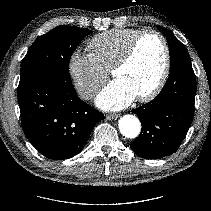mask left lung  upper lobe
I'll list each match as a JSON object with an SVG mask.
<instances>
[{"label": "left lung upper lobe", "instance_id": "5c2ea615", "mask_svg": "<svg viewBox=\"0 0 211 211\" xmlns=\"http://www.w3.org/2000/svg\"><path fill=\"white\" fill-rule=\"evenodd\" d=\"M167 38L170 52V69L182 62H191L186 47L168 29L158 26Z\"/></svg>", "mask_w": 211, "mask_h": 211}]
</instances>
